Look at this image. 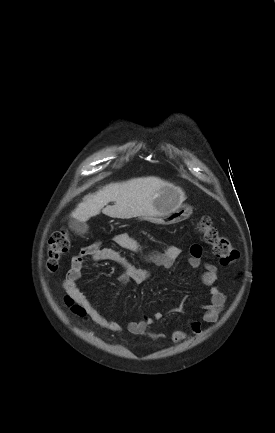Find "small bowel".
Returning a JSON list of instances; mask_svg holds the SVG:
<instances>
[{
    "label": "small bowel",
    "instance_id": "small-bowel-1",
    "mask_svg": "<svg viewBox=\"0 0 275 433\" xmlns=\"http://www.w3.org/2000/svg\"><path fill=\"white\" fill-rule=\"evenodd\" d=\"M113 242L121 248L132 252H141L143 246L129 232L116 233L112 237ZM181 249L176 245H168L162 252L146 254L144 260L155 266L162 268L171 267L176 259L180 256ZM202 248L198 244L190 247L189 265L197 269L202 266ZM90 257L95 262L111 261L119 264L123 268V272L119 276V280L123 285L129 281L143 283L148 281L153 273L150 269H142L133 265L128 258L117 249L101 248L98 243H93L83 247L80 252L72 257L71 266L66 274L63 282V287L71 298L81 306H83L92 319L101 327L112 331L121 332L122 327L114 319L104 316L92 303V301L81 291L77 281L81 276L84 259ZM204 271L200 279L203 285L209 287L210 301L203 306L204 313L202 321L192 320L188 323L189 334L182 330H174L171 333V340L175 343L184 341L187 338L197 336L202 332L203 323H215L220 313L222 312L226 296L216 286L218 281V269L212 263H203ZM164 313L161 311L153 313L151 316H144L138 321H130L127 324V329L135 335L149 336L153 340H162L164 335L151 329L155 321L161 320Z\"/></svg>",
    "mask_w": 275,
    "mask_h": 433
}]
</instances>
